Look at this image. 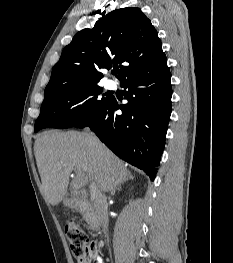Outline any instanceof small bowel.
Instances as JSON below:
<instances>
[{
	"instance_id": "obj_1",
	"label": "small bowel",
	"mask_w": 233,
	"mask_h": 263,
	"mask_svg": "<svg viewBox=\"0 0 233 263\" xmlns=\"http://www.w3.org/2000/svg\"><path fill=\"white\" fill-rule=\"evenodd\" d=\"M97 263H104L103 259L101 257H98Z\"/></svg>"
}]
</instances>
